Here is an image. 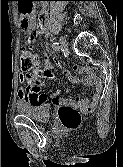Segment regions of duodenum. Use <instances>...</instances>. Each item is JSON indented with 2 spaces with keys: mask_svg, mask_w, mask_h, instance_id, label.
Wrapping results in <instances>:
<instances>
[{
  "mask_svg": "<svg viewBox=\"0 0 123 167\" xmlns=\"http://www.w3.org/2000/svg\"><path fill=\"white\" fill-rule=\"evenodd\" d=\"M41 16H42V23L44 25H46L47 24V20H48V14H47V12L43 11L42 14H41Z\"/></svg>",
  "mask_w": 123,
  "mask_h": 167,
  "instance_id": "obj_1",
  "label": "duodenum"
}]
</instances>
